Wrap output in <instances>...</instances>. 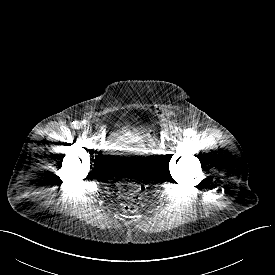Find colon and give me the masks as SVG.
<instances>
[{
  "instance_id": "obj_1",
  "label": "colon",
  "mask_w": 275,
  "mask_h": 275,
  "mask_svg": "<svg viewBox=\"0 0 275 275\" xmlns=\"http://www.w3.org/2000/svg\"><path fill=\"white\" fill-rule=\"evenodd\" d=\"M169 114V111H165ZM145 187L135 180H130L124 183L120 187V194L125 199V202L122 204V208L126 212H133L135 210L134 202L143 199L146 196Z\"/></svg>"
}]
</instances>
